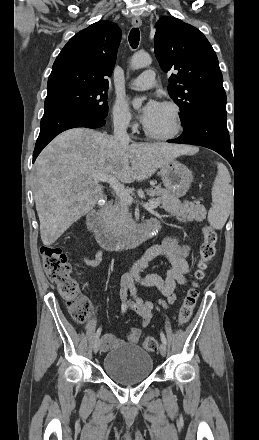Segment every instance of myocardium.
Listing matches in <instances>:
<instances>
[{"mask_svg": "<svg viewBox=\"0 0 259 440\" xmlns=\"http://www.w3.org/2000/svg\"><path fill=\"white\" fill-rule=\"evenodd\" d=\"M162 105L167 107L171 111L172 129L166 134H157L153 133L146 126H144V133L147 137L153 140L168 141L177 137L182 129L181 109L178 104L173 101H164Z\"/></svg>", "mask_w": 259, "mask_h": 440, "instance_id": "f54148a6", "label": "myocardium"}]
</instances>
